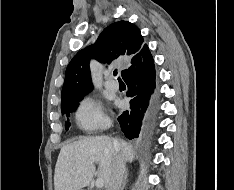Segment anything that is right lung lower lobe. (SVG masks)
Segmentation results:
<instances>
[{"label": "right lung lower lobe", "mask_w": 234, "mask_h": 190, "mask_svg": "<svg viewBox=\"0 0 234 190\" xmlns=\"http://www.w3.org/2000/svg\"><path fill=\"white\" fill-rule=\"evenodd\" d=\"M122 78L128 85L127 96L131 97L130 109L118 117L121 130L128 139L137 138L141 121L155 88V67L148 47L140 52L125 70Z\"/></svg>", "instance_id": "1"}]
</instances>
